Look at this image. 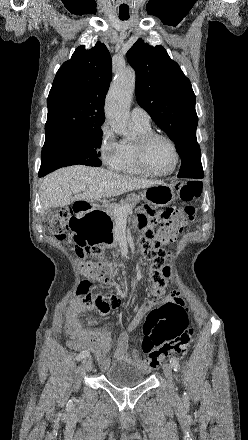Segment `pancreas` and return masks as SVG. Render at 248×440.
<instances>
[{
  "mask_svg": "<svg viewBox=\"0 0 248 440\" xmlns=\"http://www.w3.org/2000/svg\"><path fill=\"white\" fill-rule=\"evenodd\" d=\"M140 197L136 194H129L126 199L122 200L119 205H112L107 209V213L109 216H111L112 220L114 222L117 221L118 217L115 215L114 210L115 209H124L126 207H129L128 213L132 212V209L134 206L139 203ZM127 213V214H128Z\"/></svg>",
  "mask_w": 248,
  "mask_h": 440,
  "instance_id": "1",
  "label": "pancreas"
}]
</instances>
